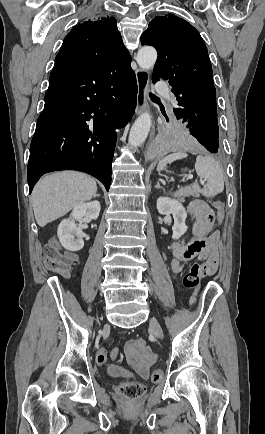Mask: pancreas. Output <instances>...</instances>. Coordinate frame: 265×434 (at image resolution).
Instances as JSON below:
<instances>
[{"instance_id": "cf45deb5", "label": "pancreas", "mask_w": 265, "mask_h": 434, "mask_svg": "<svg viewBox=\"0 0 265 434\" xmlns=\"http://www.w3.org/2000/svg\"><path fill=\"white\" fill-rule=\"evenodd\" d=\"M188 196H193V198H199L200 194L198 190L195 188H190V186H186V188H180L174 194V198H178L179 202H185L184 198H188Z\"/></svg>"}]
</instances>
